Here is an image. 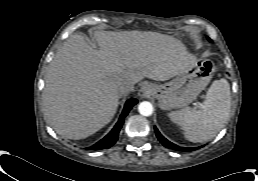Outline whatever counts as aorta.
Segmentation results:
<instances>
[{
    "label": "aorta",
    "instance_id": "1",
    "mask_svg": "<svg viewBox=\"0 0 258 181\" xmlns=\"http://www.w3.org/2000/svg\"><path fill=\"white\" fill-rule=\"evenodd\" d=\"M138 111L143 116H150L153 113V106L148 101H143L138 106Z\"/></svg>",
    "mask_w": 258,
    "mask_h": 181
}]
</instances>
